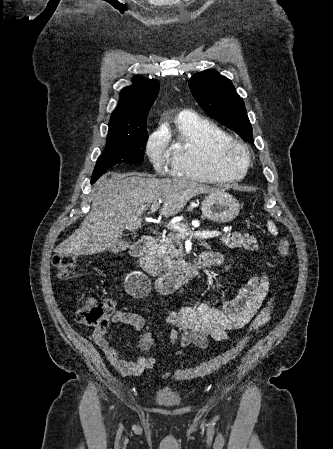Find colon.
<instances>
[{
	"label": "colon",
	"instance_id": "5ec220e1",
	"mask_svg": "<svg viewBox=\"0 0 333 449\" xmlns=\"http://www.w3.org/2000/svg\"><path fill=\"white\" fill-rule=\"evenodd\" d=\"M275 246L278 253L283 257L289 255L290 245L286 240L277 238L275 240ZM52 264L59 276L67 277L74 271L76 259L71 254L56 253L52 257ZM114 312L115 304L113 301L105 300L99 302L95 300L86 302L83 307L77 310L75 317L76 320L82 324L105 330L107 329L110 317ZM243 345L244 341L242 340L223 354L204 361L197 366L177 370L172 373L171 376L176 380H185L211 374L235 360L241 352Z\"/></svg>",
	"mask_w": 333,
	"mask_h": 449
}]
</instances>
